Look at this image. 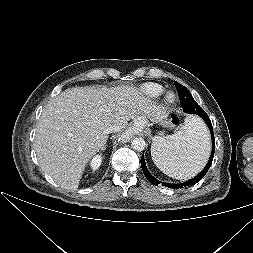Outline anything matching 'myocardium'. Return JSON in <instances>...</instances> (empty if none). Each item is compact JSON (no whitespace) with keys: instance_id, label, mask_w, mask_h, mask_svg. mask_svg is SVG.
Wrapping results in <instances>:
<instances>
[{"instance_id":"1","label":"myocardium","mask_w":253,"mask_h":253,"mask_svg":"<svg viewBox=\"0 0 253 253\" xmlns=\"http://www.w3.org/2000/svg\"><path fill=\"white\" fill-rule=\"evenodd\" d=\"M176 100V95L173 92H168L165 95V102L167 104H173Z\"/></svg>"}]
</instances>
